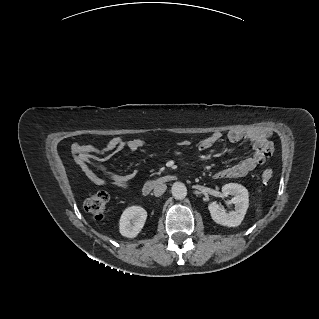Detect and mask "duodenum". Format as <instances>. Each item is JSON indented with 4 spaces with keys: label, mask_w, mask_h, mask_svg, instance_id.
I'll list each match as a JSON object with an SVG mask.
<instances>
[{
    "label": "duodenum",
    "mask_w": 319,
    "mask_h": 319,
    "mask_svg": "<svg viewBox=\"0 0 319 319\" xmlns=\"http://www.w3.org/2000/svg\"><path fill=\"white\" fill-rule=\"evenodd\" d=\"M173 180L172 176H165L156 179H150L142 187V193L148 195L156 186Z\"/></svg>",
    "instance_id": "duodenum-1"
}]
</instances>
